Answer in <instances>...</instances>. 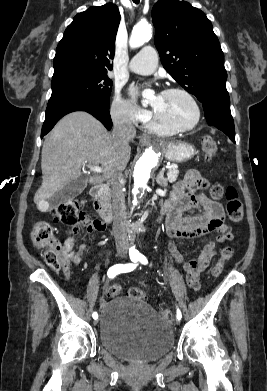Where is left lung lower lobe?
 Here are the masks:
<instances>
[{
  "instance_id": "1",
  "label": "left lung lower lobe",
  "mask_w": 267,
  "mask_h": 391,
  "mask_svg": "<svg viewBox=\"0 0 267 391\" xmlns=\"http://www.w3.org/2000/svg\"><path fill=\"white\" fill-rule=\"evenodd\" d=\"M202 104L208 125L217 127L235 143V128L229 98H214Z\"/></svg>"
}]
</instances>
